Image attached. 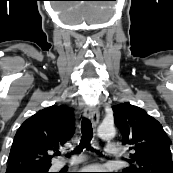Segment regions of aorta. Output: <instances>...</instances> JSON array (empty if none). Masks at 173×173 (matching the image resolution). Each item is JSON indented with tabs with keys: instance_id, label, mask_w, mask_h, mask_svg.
<instances>
[{
	"instance_id": "762f6f07",
	"label": "aorta",
	"mask_w": 173,
	"mask_h": 173,
	"mask_svg": "<svg viewBox=\"0 0 173 173\" xmlns=\"http://www.w3.org/2000/svg\"><path fill=\"white\" fill-rule=\"evenodd\" d=\"M115 134H116V130H115L113 123L103 122L98 127V135L101 138L110 139V138H113L115 136Z\"/></svg>"
}]
</instances>
